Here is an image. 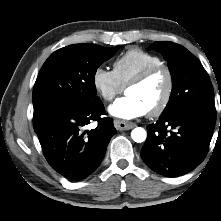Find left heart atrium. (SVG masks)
Returning <instances> with one entry per match:
<instances>
[{"label": "left heart atrium", "mask_w": 221, "mask_h": 221, "mask_svg": "<svg viewBox=\"0 0 221 221\" xmlns=\"http://www.w3.org/2000/svg\"><path fill=\"white\" fill-rule=\"evenodd\" d=\"M109 112L119 119L131 120L146 115L148 109L138 98L127 95L117 99L109 107Z\"/></svg>", "instance_id": "39dd6f15"}]
</instances>
